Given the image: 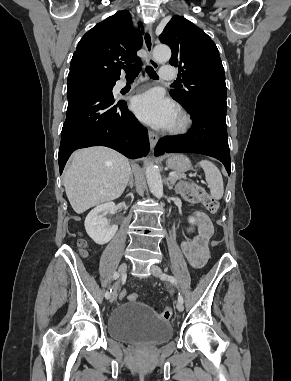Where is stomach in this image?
I'll list each match as a JSON object with an SVG mask.
<instances>
[{"instance_id": "stomach-1", "label": "stomach", "mask_w": 291, "mask_h": 381, "mask_svg": "<svg viewBox=\"0 0 291 381\" xmlns=\"http://www.w3.org/2000/svg\"><path fill=\"white\" fill-rule=\"evenodd\" d=\"M166 165L175 172H185L191 168V161L182 154L170 155L166 161Z\"/></svg>"}]
</instances>
